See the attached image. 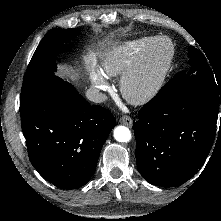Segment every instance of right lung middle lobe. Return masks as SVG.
<instances>
[{
	"label": "right lung middle lobe",
	"instance_id": "obj_1",
	"mask_svg": "<svg viewBox=\"0 0 221 221\" xmlns=\"http://www.w3.org/2000/svg\"><path fill=\"white\" fill-rule=\"evenodd\" d=\"M77 29H51L44 36L24 75L20 104L35 93L44 83L53 78L56 71L57 53L68 48L64 42L74 38Z\"/></svg>",
	"mask_w": 221,
	"mask_h": 221
}]
</instances>
